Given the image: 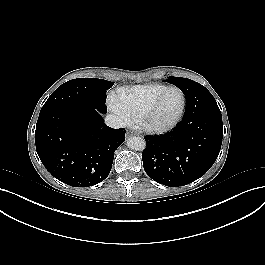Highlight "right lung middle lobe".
Returning a JSON list of instances; mask_svg holds the SVG:
<instances>
[{
	"instance_id": "right-lung-middle-lobe-1",
	"label": "right lung middle lobe",
	"mask_w": 265,
	"mask_h": 265,
	"mask_svg": "<svg viewBox=\"0 0 265 265\" xmlns=\"http://www.w3.org/2000/svg\"><path fill=\"white\" fill-rule=\"evenodd\" d=\"M113 82L96 78H77L59 86L47 99L43 108L67 105L77 108H95L106 112V91Z\"/></svg>"
}]
</instances>
